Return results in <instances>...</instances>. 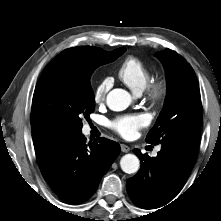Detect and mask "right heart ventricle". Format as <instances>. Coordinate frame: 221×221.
<instances>
[{"mask_svg":"<svg viewBox=\"0 0 221 221\" xmlns=\"http://www.w3.org/2000/svg\"><path fill=\"white\" fill-rule=\"evenodd\" d=\"M119 79L135 94H140L151 78L148 65L138 57H127L118 69Z\"/></svg>","mask_w":221,"mask_h":221,"instance_id":"e07e8e85","label":"right heart ventricle"}]
</instances>
